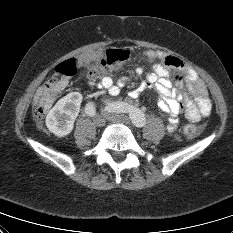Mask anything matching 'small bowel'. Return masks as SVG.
I'll return each mask as SVG.
<instances>
[{
  "label": "small bowel",
  "instance_id": "c3829d8e",
  "mask_svg": "<svg viewBox=\"0 0 233 233\" xmlns=\"http://www.w3.org/2000/svg\"><path fill=\"white\" fill-rule=\"evenodd\" d=\"M142 55L153 68L147 75L143 87L154 89L159 94V107L169 115V131L176 129L182 114L192 122L209 115L211 103L208 92L204 81L195 70L181 60L158 50H147L142 52ZM172 70L179 71L184 78L180 74L173 76ZM142 73L141 67L136 69L137 76H141ZM130 81L129 76H122L116 81L110 76H104L98 82L97 88L116 96Z\"/></svg>",
  "mask_w": 233,
  "mask_h": 233
}]
</instances>
